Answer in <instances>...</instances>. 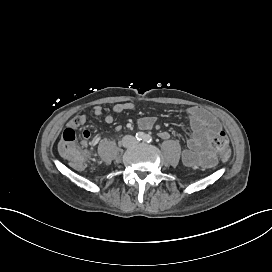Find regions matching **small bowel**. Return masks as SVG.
<instances>
[{"instance_id":"1","label":"small bowel","mask_w":272,"mask_h":272,"mask_svg":"<svg viewBox=\"0 0 272 272\" xmlns=\"http://www.w3.org/2000/svg\"><path fill=\"white\" fill-rule=\"evenodd\" d=\"M134 109V104L131 102L117 103L113 106L114 113H123L125 111H131ZM92 113L96 117L103 115V108L100 105H95L92 109ZM187 116L189 120V126L187 130V146L182 152V161L186 166L195 167L203 165L204 155L208 149L210 138L220 132L221 125L219 120L209 111L201 107H191L187 110ZM87 122V116L85 114H79L71 119L67 126H73L75 129L84 125ZM104 122L112 124L114 122V116L108 114L104 117ZM156 122L155 117H143L139 119L138 125L141 129L147 130L153 127ZM116 130H121L120 126L116 127ZM82 137L86 140L91 137V131L88 128L82 130ZM170 134L167 131H161L159 137L161 139H168Z\"/></svg>"}]
</instances>
